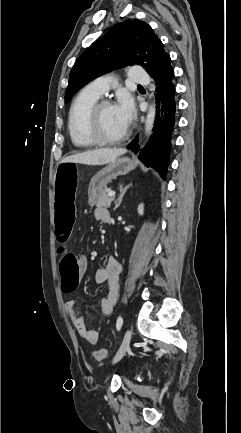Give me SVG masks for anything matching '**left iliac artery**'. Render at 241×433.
Returning a JSON list of instances; mask_svg holds the SVG:
<instances>
[{
    "label": "left iliac artery",
    "instance_id": "1",
    "mask_svg": "<svg viewBox=\"0 0 241 433\" xmlns=\"http://www.w3.org/2000/svg\"><path fill=\"white\" fill-rule=\"evenodd\" d=\"M122 325H123V318L121 316H119L117 319V323H116V328L118 331H120Z\"/></svg>",
    "mask_w": 241,
    "mask_h": 433
}]
</instances>
